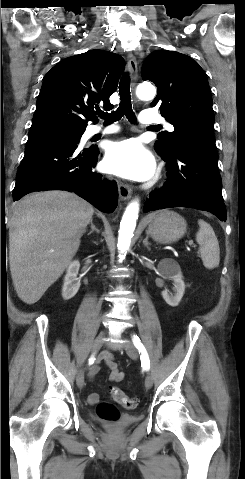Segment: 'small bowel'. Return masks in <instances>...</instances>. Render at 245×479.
<instances>
[{
	"label": "small bowel",
	"instance_id": "c3829d8e",
	"mask_svg": "<svg viewBox=\"0 0 245 479\" xmlns=\"http://www.w3.org/2000/svg\"><path fill=\"white\" fill-rule=\"evenodd\" d=\"M100 360L104 362L111 370L109 379L112 382H119L123 380L125 373L120 368L119 364L114 360L112 354L109 352L102 353ZM99 370V366L95 365L91 369V376L95 375ZM99 397L96 393H90L88 395V402L90 404H95L98 401Z\"/></svg>",
	"mask_w": 245,
	"mask_h": 479
}]
</instances>
